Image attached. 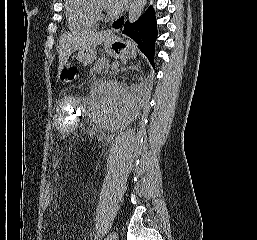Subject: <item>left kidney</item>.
<instances>
[{"mask_svg": "<svg viewBox=\"0 0 257 240\" xmlns=\"http://www.w3.org/2000/svg\"><path fill=\"white\" fill-rule=\"evenodd\" d=\"M99 118L105 127L115 129L126 118H132L135 113L134 97L124 83L109 81L104 83L97 98Z\"/></svg>", "mask_w": 257, "mask_h": 240, "instance_id": "obj_1", "label": "left kidney"}]
</instances>
